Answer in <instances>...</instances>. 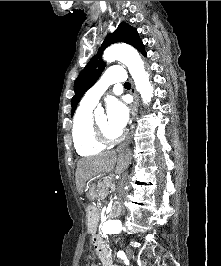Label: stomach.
Returning a JSON list of instances; mask_svg holds the SVG:
<instances>
[{"label": "stomach", "mask_w": 221, "mask_h": 266, "mask_svg": "<svg viewBox=\"0 0 221 266\" xmlns=\"http://www.w3.org/2000/svg\"><path fill=\"white\" fill-rule=\"evenodd\" d=\"M95 183L89 181L85 187V193L89 200L94 201L99 199V189ZM98 217V211L96 207H91L87 212L88 225L93 226Z\"/></svg>", "instance_id": "0dacf381"}]
</instances>
